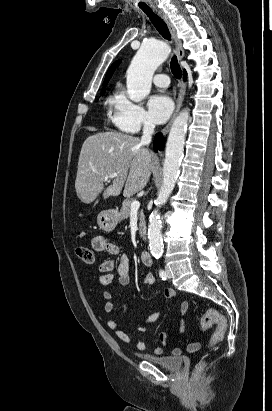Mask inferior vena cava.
<instances>
[{
  "instance_id": "inferior-vena-cava-1",
  "label": "inferior vena cava",
  "mask_w": 272,
  "mask_h": 411,
  "mask_svg": "<svg viewBox=\"0 0 272 411\" xmlns=\"http://www.w3.org/2000/svg\"><path fill=\"white\" fill-rule=\"evenodd\" d=\"M155 125L150 121H144L143 135L141 137V144L148 145L151 142L152 134L154 133Z\"/></svg>"
}]
</instances>
